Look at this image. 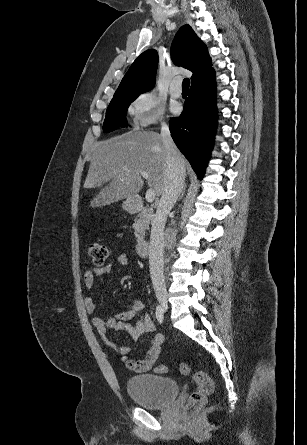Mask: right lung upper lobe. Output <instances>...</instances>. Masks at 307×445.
<instances>
[{"label":"right lung upper lobe","mask_w":307,"mask_h":445,"mask_svg":"<svg viewBox=\"0 0 307 445\" xmlns=\"http://www.w3.org/2000/svg\"><path fill=\"white\" fill-rule=\"evenodd\" d=\"M171 56L176 65L193 72L191 82L212 69L206 45L189 25H184L176 34L171 46ZM157 64L156 50L143 52L127 71L111 101L138 97L151 90L155 83Z\"/></svg>","instance_id":"1"}]
</instances>
